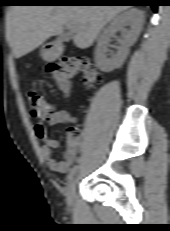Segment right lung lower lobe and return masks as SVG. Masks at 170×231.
I'll return each instance as SVG.
<instances>
[{
    "label": "right lung lower lobe",
    "mask_w": 170,
    "mask_h": 231,
    "mask_svg": "<svg viewBox=\"0 0 170 231\" xmlns=\"http://www.w3.org/2000/svg\"><path fill=\"white\" fill-rule=\"evenodd\" d=\"M64 1L66 2L53 3V4L55 5H108L101 2H94L99 0H64ZM107 1H114L115 3H130L134 5H149L153 8L154 11H156L157 6L160 5L159 0H107ZM37 3H38L37 5L49 4L44 2H37Z\"/></svg>",
    "instance_id": "right-lung-lower-lobe-1"
}]
</instances>
